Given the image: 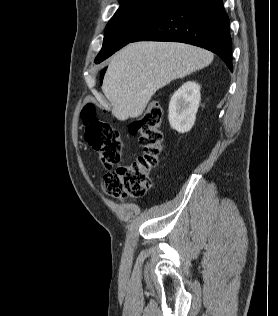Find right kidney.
<instances>
[{
    "label": "right kidney",
    "mask_w": 278,
    "mask_h": 316,
    "mask_svg": "<svg viewBox=\"0 0 278 316\" xmlns=\"http://www.w3.org/2000/svg\"><path fill=\"white\" fill-rule=\"evenodd\" d=\"M201 99L200 85L188 81L172 96L169 103L170 126L179 133L190 131L193 127Z\"/></svg>",
    "instance_id": "1"
}]
</instances>
